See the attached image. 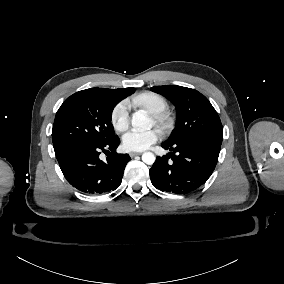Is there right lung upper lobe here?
Returning a JSON list of instances; mask_svg holds the SVG:
<instances>
[{"label": "right lung upper lobe", "mask_w": 284, "mask_h": 284, "mask_svg": "<svg viewBox=\"0 0 284 284\" xmlns=\"http://www.w3.org/2000/svg\"><path fill=\"white\" fill-rule=\"evenodd\" d=\"M105 92H107L109 95L114 97L116 100L121 101L125 97L131 95L134 93L135 88H120V89H103Z\"/></svg>", "instance_id": "cb5924a9"}]
</instances>
